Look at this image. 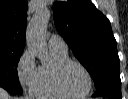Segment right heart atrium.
<instances>
[{
    "mask_svg": "<svg viewBox=\"0 0 128 99\" xmlns=\"http://www.w3.org/2000/svg\"><path fill=\"white\" fill-rule=\"evenodd\" d=\"M37 69L33 52L26 49L17 63L18 80L24 89L31 90L37 75Z\"/></svg>",
    "mask_w": 128,
    "mask_h": 99,
    "instance_id": "right-heart-atrium-1",
    "label": "right heart atrium"
}]
</instances>
